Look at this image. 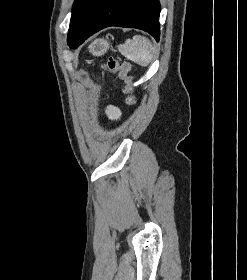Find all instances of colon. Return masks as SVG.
Wrapping results in <instances>:
<instances>
[{
    "instance_id": "1",
    "label": "colon",
    "mask_w": 247,
    "mask_h": 280,
    "mask_svg": "<svg viewBox=\"0 0 247 280\" xmlns=\"http://www.w3.org/2000/svg\"><path fill=\"white\" fill-rule=\"evenodd\" d=\"M104 69L110 73H117L121 79L124 80L126 86V92L130 93L127 98V104L133 105L136 103V98L132 94L133 92V77L130 74L131 65L127 62L119 63L115 59H109L108 62L104 65Z\"/></svg>"
}]
</instances>
